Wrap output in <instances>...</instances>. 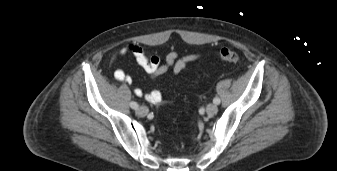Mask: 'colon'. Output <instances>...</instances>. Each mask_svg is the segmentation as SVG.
Masks as SVG:
<instances>
[{"mask_svg":"<svg viewBox=\"0 0 337 171\" xmlns=\"http://www.w3.org/2000/svg\"><path fill=\"white\" fill-rule=\"evenodd\" d=\"M218 57L226 62H231V63H235L239 60V54L230 48H222L219 52H218Z\"/></svg>","mask_w":337,"mask_h":171,"instance_id":"obj_1","label":"colon"}]
</instances>
